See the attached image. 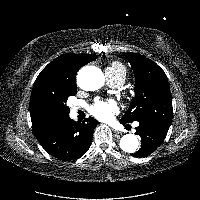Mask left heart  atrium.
I'll list each match as a JSON object with an SVG mask.
<instances>
[{
  "label": "left heart atrium",
  "instance_id": "obj_1",
  "mask_svg": "<svg viewBox=\"0 0 200 200\" xmlns=\"http://www.w3.org/2000/svg\"><path fill=\"white\" fill-rule=\"evenodd\" d=\"M118 111V107L113 100H99L90 108V113L99 120H109Z\"/></svg>",
  "mask_w": 200,
  "mask_h": 200
}]
</instances>
